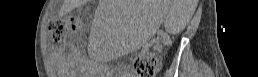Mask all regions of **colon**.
<instances>
[{"label":"colon","instance_id":"5ec220e1","mask_svg":"<svg viewBox=\"0 0 258 77\" xmlns=\"http://www.w3.org/2000/svg\"><path fill=\"white\" fill-rule=\"evenodd\" d=\"M79 27L76 18H68L66 21H54L50 25L53 39H64L66 34ZM157 59L153 54H144L134 60L133 69L138 77H154L157 71Z\"/></svg>","mask_w":258,"mask_h":77}]
</instances>
